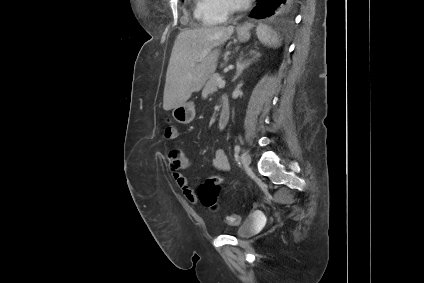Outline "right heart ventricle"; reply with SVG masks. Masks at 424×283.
<instances>
[{
    "instance_id": "obj_1",
    "label": "right heart ventricle",
    "mask_w": 424,
    "mask_h": 283,
    "mask_svg": "<svg viewBox=\"0 0 424 283\" xmlns=\"http://www.w3.org/2000/svg\"><path fill=\"white\" fill-rule=\"evenodd\" d=\"M194 15L205 26L218 25L225 20V16L216 10L211 0H195Z\"/></svg>"
}]
</instances>
